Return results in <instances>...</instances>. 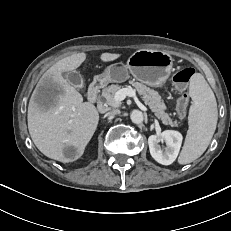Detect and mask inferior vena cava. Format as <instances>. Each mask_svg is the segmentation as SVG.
Listing matches in <instances>:
<instances>
[{"instance_id": "inferior-vena-cava-1", "label": "inferior vena cava", "mask_w": 231, "mask_h": 231, "mask_svg": "<svg viewBox=\"0 0 231 231\" xmlns=\"http://www.w3.org/2000/svg\"><path fill=\"white\" fill-rule=\"evenodd\" d=\"M119 114V110H111L105 114V116H115Z\"/></svg>"}]
</instances>
